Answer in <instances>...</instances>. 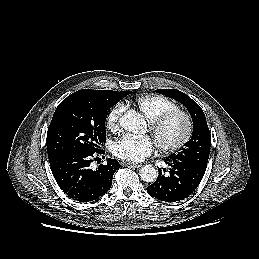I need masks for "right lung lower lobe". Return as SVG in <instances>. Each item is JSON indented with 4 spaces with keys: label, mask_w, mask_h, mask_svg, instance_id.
Returning a JSON list of instances; mask_svg holds the SVG:
<instances>
[{
    "label": "right lung lower lobe",
    "mask_w": 259,
    "mask_h": 259,
    "mask_svg": "<svg viewBox=\"0 0 259 259\" xmlns=\"http://www.w3.org/2000/svg\"><path fill=\"white\" fill-rule=\"evenodd\" d=\"M101 152L104 151H66L49 157L53 176L69 197L88 202L103 196L111 188L113 174L121 165L115 159H108L106 165L92 170V157Z\"/></svg>",
    "instance_id": "1"
}]
</instances>
